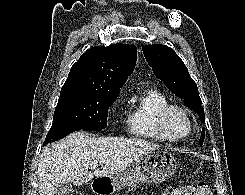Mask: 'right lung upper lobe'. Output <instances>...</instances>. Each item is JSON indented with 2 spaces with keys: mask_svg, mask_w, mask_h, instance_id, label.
<instances>
[{
  "mask_svg": "<svg viewBox=\"0 0 245 195\" xmlns=\"http://www.w3.org/2000/svg\"><path fill=\"white\" fill-rule=\"evenodd\" d=\"M137 58L134 45L114 44L92 47L71 67L61 93L97 92L119 95L120 88L133 72Z\"/></svg>",
  "mask_w": 245,
  "mask_h": 195,
  "instance_id": "obj_1",
  "label": "right lung upper lobe"
}]
</instances>
